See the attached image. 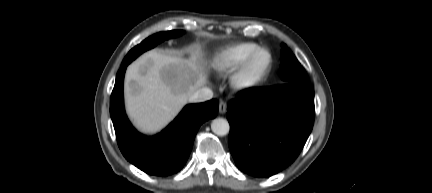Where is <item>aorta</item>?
Listing matches in <instances>:
<instances>
[{
    "label": "aorta",
    "instance_id": "aorta-1",
    "mask_svg": "<svg viewBox=\"0 0 432 193\" xmlns=\"http://www.w3.org/2000/svg\"><path fill=\"white\" fill-rule=\"evenodd\" d=\"M212 132L218 136H225L229 133L230 126L226 119L216 118L211 123Z\"/></svg>",
    "mask_w": 432,
    "mask_h": 193
}]
</instances>
